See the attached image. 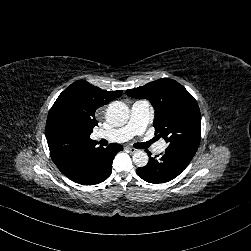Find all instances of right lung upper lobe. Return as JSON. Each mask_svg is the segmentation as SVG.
Here are the masks:
<instances>
[{
	"instance_id": "obj_1",
	"label": "right lung upper lobe",
	"mask_w": 251,
	"mask_h": 251,
	"mask_svg": "<svg viewBox=\"0 0 251 251\" xmlns=\"http://www.w3.org/2000/svg\"><path fill=\"white\" fill-rule=\"evenodd\" d=\"M121 93L122 91L102 90L85 80H78L59 95L46 122L50 155L59 169L99 148L90 139V134L98 123L95 111Z\"/></svg>"
}]
</instances>
